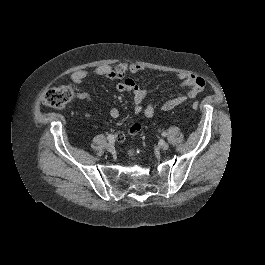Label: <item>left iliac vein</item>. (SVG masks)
I'll return each mask as SVG.
<instances>
[{"instance_id":"left-iliac-vein-1","label":"left iliac vein","mask_w":265,"mask_h":265,"mask_svg":"<svg viewBox=\"0 0 265 265\" xmlns=\"http://www.w3.org/2000/svg\"><path fill=\"white\" fill-rule=\"evenodd\" d=\"M160 147H161L162 150L166 151V150L169 149V144L166 143V142H162V143L160 144Z\"/></svg>"}]
</instances>
